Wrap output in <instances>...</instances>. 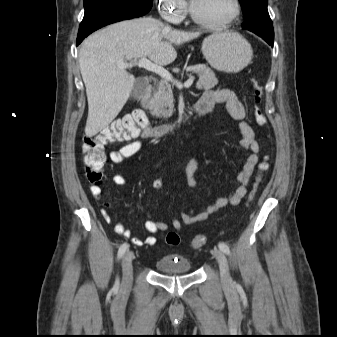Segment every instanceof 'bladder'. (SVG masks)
<instances>
[{
	"label": "bladder",
	"mask_w": 337,
	"mask_h": 337,
	"mask_svg": "<svg viewBox=\"0 0 337 337\" xmlns=\"http://www.w3.org/2000/svg\"><path fill=\"white\" fill-rule=\"evenodd\" d=\"M156 269L164 275H183L191 272V264L183 256L166 254L156 261Z\"/></svg>",
	"instance_id": "31cf9c89"
}]
</instances>
